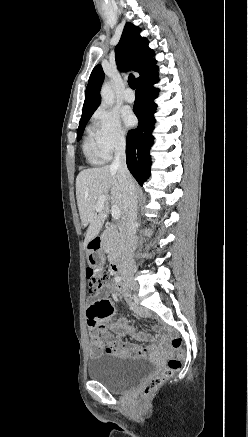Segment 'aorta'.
Here are the masks:
<instances>
[{"label":"aorta","mask_w":248,"mask_h":437,"mask_svg":"<svg viewBox=\"0 0 248 437\" xmlns=\"http://www.w3.org/2000/svg\"><path fill=\"white\" fill-rule=\"evenodd\" d=\"M101 98L103 106H110L114 102V94L108 83H105L101 88Z\"/></svg>","instance_id":"aorta-1"}]
</instances>
